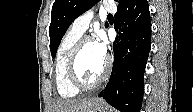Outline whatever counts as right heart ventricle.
Returning a JSON list of instances; mask_svg holds the SVG:
<instances>
[{
  "label": "right heart ventricle",
  "instance_id": "e07e8e85",
  "mask_svg": "<svg viewBox=\"0 0 193 112\" xmlns=\"http://www.w3.org/2000/svg\"><path fill=\"white\" fill-rule=\"evenodd\" d=\"M82 34L69 29L61 38L55 56V82L58 93L63 98H73L80 92L69 80L67 72V63L70 52L76 41Z\"/></svg>",
  "mask_w": 193,
  "mask_h": 112
}]
</instances>
